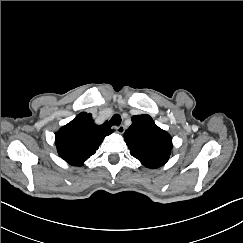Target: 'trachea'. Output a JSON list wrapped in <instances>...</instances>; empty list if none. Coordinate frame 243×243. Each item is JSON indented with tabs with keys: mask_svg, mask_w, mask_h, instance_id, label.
Wrapping results in <instances>:
<instances>
[{
	"mask_svg": "<svg viewBox=\"0 0 243 243\" xmlns=\"http://www.w3.org/2000/svg\"><path fill=\"white\" fill-rule=\"evenodd\" d=\"M121 123V117L119 114H114L112 116V118L110 119V126H113V125H120Z\"/></svg>",
	"mask_w": 243,
	"mask_h": 243,
	"instance_id": "1",
	"label": "trachea"
}]
</instances>
